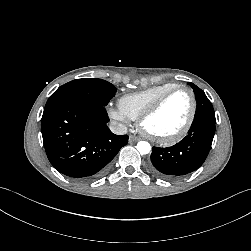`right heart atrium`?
<instances>
[{"mask_svg": "<svg viewBox=\"0 0 251 251\" xmlns=\"http://www.w3.org/2000/svg\"><path fill=\"white\" fill-rule=\"evenodd\" d=\"M107 113L115 122L126 124L129 121V118L121 111L119 107L109 106L107 108Z\"/></svg>", "mask_w": 251, "mask_h": 251, "instance_id": "obj_1", "label": "right heart atrium"}]
</instances>
